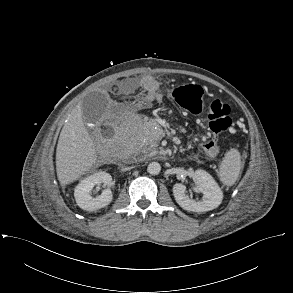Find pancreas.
I'll list each match as a JSON object with an SVG mask.
<instances>
[{
	"label": "pancreas",
	"mask_w": 293,
	"mask_h": 293,
	"mask_svg": "<svg viewBox=\"0 0 293 293\" xmlns=\"http://www.w3.org/2000/svg\"><path fill=\"white\" fill-rule=\"evenodd\" d=\"M134 134V131H125V133L120 134V141L125 142L127 138ZM152 145L155 147L157 145V141H153ZM152 151V149L150 150Z\"/></svg>",
	"instance_id": "cf45deb5"
}]
</instances>
